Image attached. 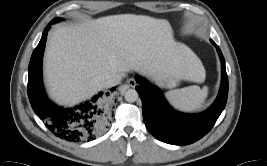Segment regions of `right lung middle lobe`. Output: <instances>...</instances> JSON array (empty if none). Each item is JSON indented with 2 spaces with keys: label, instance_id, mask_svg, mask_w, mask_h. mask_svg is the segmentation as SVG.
<instances>
[{
  "label": "right lung middle lobe",
  "instance_id": "1",
  "mask_svg": "<svg viewBox=\"0 0 267 166\" xmlns=\"http://www.w3.org/2000/svg\"><path fill=\"white\" fill-rule=\"evenodd\" d=\"M60 20H62V19H61V18H55V19H54L55 22H58V21H60Z\"/></svg>",
  "mask_w": 267,
  "mask_h": 166
}]
</instances>
